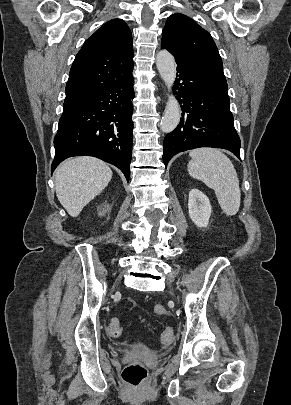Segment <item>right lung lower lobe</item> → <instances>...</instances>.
Returning a JSON list of instances; mask_svg holds the SVG:
<instances>
[{
  "label": "right lung lower lobe",
  "mask_w": 291,
  "mask_h": 405,
  "mask_svg": "<svg viewBox=\"0 0 291 405\" xmlns=\"http://www.w3.org/2000/svg\"><path fill=\"white\" fill-rule=\"evenodd\" d=\"M133 76L90 93L63 112L54 138L51 172L66 158L94 156L130 176Z\"/></svg>",
  "instance_id": "98d812e1"
}]
</instances>
